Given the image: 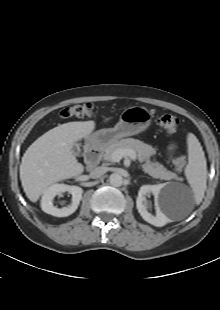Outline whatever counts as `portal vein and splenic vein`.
<instances>
[{
	"instance_id": "1",
	"label": "portal vein and splenic vein",
	"mask_w": 220,
	"mask_h": 310,
	"mask_svg": "<svg viewBox=\"0 0 220 310\" xmlns=\"http://www.w3.org/2000/svg\"><path fill=\"white\" fill-rule=\"evenodd\" d=\"M128 156L132 160H136V153L132 149H118L112 154V161L119 162L123 157Z\"/></svg>"
}]
</instances>
